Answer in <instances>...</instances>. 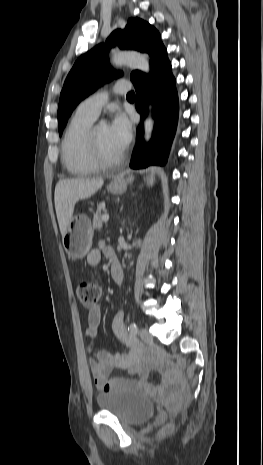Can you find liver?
Returning <instances> with one entry per match:
<instances>
[{
	"mask_svg": "<svg viewBox=\"0 0 263 465\" xmlns=\"http://www.w3.org/2000/svg\"><path fill=\"white\" fill-rule=\"evenodd\" d=\"M102 178L93 179H64L58 181L55 187V210L62 237L72 218L75 204L82 199L94 195L102 187Z\"/></svg>",
	"mask_w": 263,
	"mask_h": 465,
	"instance_id": "liver-1",
	"label": "liver"
}]
</instances>
